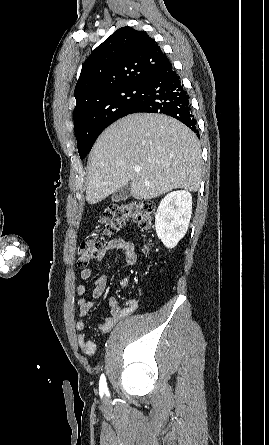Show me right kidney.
<instances>
[{
    "instance_id": "1",
    "label": "right kidney",
    "mask_w": 269,
    "mask_h": 445,
    "mask_svg": "<svg viewBox=\"0 0 269 445\" xmlns=\"http://www.w3.org/2000/svg\"><path fill=\"white\" fill-rule=\"evenodd\" d=\"M192 213V196L188 191H173L159 204L155 230L167 248H173L187 232Z\"/></svg>"
}]
</instances>
